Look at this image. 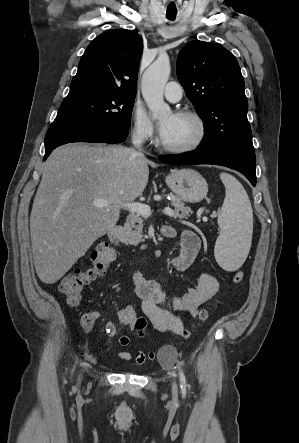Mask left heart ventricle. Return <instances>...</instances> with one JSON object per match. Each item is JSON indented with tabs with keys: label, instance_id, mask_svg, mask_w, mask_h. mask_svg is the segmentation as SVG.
Instances as JSON below:
<instances>
[{
	"label": "left heart ventricle",
	"instance_id": "b2bd125f",
	"mask_svg": "<svg viewBox=\"0 0 299 443\" xmlns=\"http://www.w3.org/2000/svg\"><path fill=\"white\" fill-rule=\"evenodd\" d=\"M172 115L165 116L163 120ZM174 123L168 133L162 138L163 142L171 146H183L191 143L197 135V127L194 121L174 115Z\"/></svg>",
	"mask_w": 299,
	"mask_h": 443
}]
</instances>
